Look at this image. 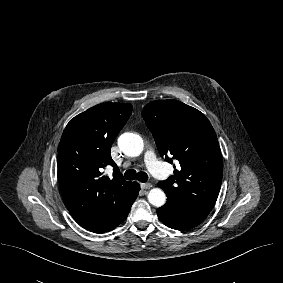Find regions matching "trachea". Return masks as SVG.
<instances>
[{"label": "trachea", "mask_w": 283, "mask_h": 283, "mask_svg": "<svg viewBox=\"0 0 283 283\" xmlns=\"http://www.w3.org/2000/svg\"><path fill=\"white\" fill-rule=\"evenodd\" d=\"M124 175L127 180L137 179L140 182H146L148 180L147 173L143 171L136 172L134 169L127 170Z\"/></svg>", "instance_id": "obj_1"}]
</instances>
